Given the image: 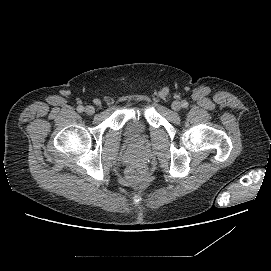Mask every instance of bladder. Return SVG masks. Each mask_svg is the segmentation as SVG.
Instances as JSON below:
<instances>
[{
  "mask_svg": "<svg viewBox=\"0 0 271 271\" xmlns=\"http://www.w3.org/2000/svg\"><path fill=\"white\" fill-rule=\"evenodd\" d=\"M144 129V121L142 114H136L128 120L126 124V132L130 137H137Z\"/></svg>",
  "mask_w": 271,
  "mask_h": 271,
  "instance_id": "1",
  "label": "bladder"
}]
</instances>
